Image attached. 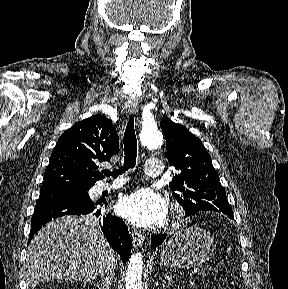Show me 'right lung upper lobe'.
<instances>
[{
	"label": "right lung upper lobe",
	"mask_w": 288,
	"mask_h": 289,
	"mask_svg": "<svg viewBox=\"0 0 288 289\" xmlns=\"http://www.w3.org/2000/svg\"><path fill=\"white\" fill-rule=\"evenodd\" d=\"M118 152L119 138L109 119L95 115L77 122L58 139L41 190L92 187L103 178L96 163Z\"/></svg>",
	"instance_id": "cb5924a9"
}]
</instances>
